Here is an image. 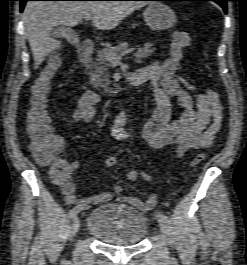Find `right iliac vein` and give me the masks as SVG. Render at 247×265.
<instances>
[{
	"label": "right iliac vein",
	"mask_w": 247,
	"mask_h": 265,
	"mask_svg": "<svg viewBox=\"0 0 247 265\" xmlns=\"http://www.w3.org/2000/svg\"><path fill=\"white\" fill-rule=\"evenodd\" d=\"M80 227V220L78 217H74L73 221H72V234L75 235Z\"/></svg>",
	"instance_id": "1"
}]
</instances>
